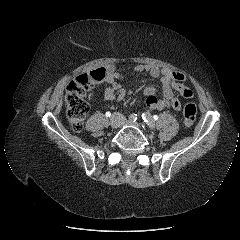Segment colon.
Wrapping results in <instances>:
<instances>
[{
	"label": "colon",
	"mask_w": 240,
	"mask_h": 240,
	"mask_svg": "<svg viewBox=\"0 0 240 240\" xmlns=\"http://www.w3.org/2000/svg\"><path fill=\"white\" fill-rule=\"evenodd\" d=\"M105 76V69L99 68L76 76L68 84L66 113L69 123L75 132L82 130L84 119L89 111V103L86 100L87 91L93 84L103 81ZM186 100L183 107V120L187 126H190L196 119V105L193 98L189 97Z\"/></svg>",
	"instance_id": "1"
}]
</instances>
